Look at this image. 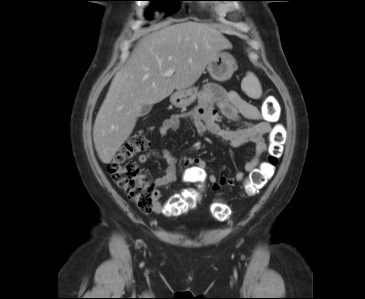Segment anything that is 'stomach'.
<instances>
[{
    "label": "stomach",
    "instance_id": "obj_1",
    "mask_svg": "<svg viewBox=\"0 0 365 299\" xmlns=\"http://www.w3.org/2000/svg\"><path fill=\"white\" fill-rule=\"evenodd\" d=\"M237 69L236 60L226 52H219L214 59L208 64L207 70L210 76L216 81H226L230 79ZM198 95L196 87H190L185 90H177L170 97V102L178 108L189 106L195 101Z\"/></svg>",
    "mask_w": 365,
    "mask_h": 299
}]
</instances>
